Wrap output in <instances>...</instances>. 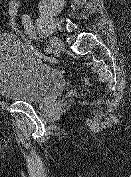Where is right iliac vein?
<instances>
[{"label":"right iliac vein","instance_id":"63e3f726","mask_svg":"<svg viewBox=\"0 0 131 177\" xmlns=\"http://www.w3.org/2000/svg\"><path fill=\"white\" fill-rule=\"evenodd\" d=\"M49 43L55 49L63 48L62 41L59 38L55 37V36H52V37L49 38Z\"/></svg>","mask_w":131,"mask_h":177}]
</instances>
